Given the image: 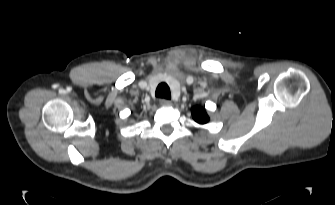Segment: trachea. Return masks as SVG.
Masks as SVG:
<instances>
[{
  "instance_id": "trachea-1",
  "label": "trachea",
  "mask_w": 335,
  "mask_h": 205,
  "mask_svg": "<svg viewBox=\"0 0 335 205\" xmlns=\"http://www.w3.org/2000/svg\"><path fill=\"white\" fill-rule=\"evenodd\" d=\"M156 96L164 99H170L171 93L170 88L166 83H160L156 89Z\"/></svg>"
}]
</instances>
